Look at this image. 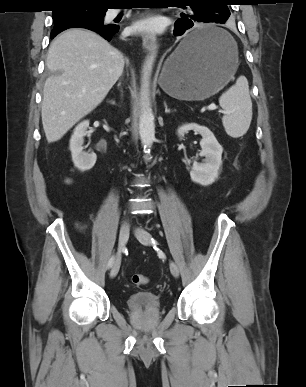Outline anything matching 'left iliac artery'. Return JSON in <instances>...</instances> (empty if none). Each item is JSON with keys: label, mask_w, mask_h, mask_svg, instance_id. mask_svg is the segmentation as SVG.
<instances>
[{"label": "left iliac artery", "mask_w": 306, "mask_h": 387, "mask_svg": "<svg viewBox=\"0 0 306 387\" xmlns=\"http://www.w3.org/2000/svg\"><path fill=\"white\" fill-rule=\"evenodd\" d=\"M152 243L155 244V240L152 239Z\"/></svg>", "instance_id": "44dca946"}]
</instances>
